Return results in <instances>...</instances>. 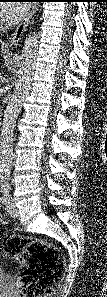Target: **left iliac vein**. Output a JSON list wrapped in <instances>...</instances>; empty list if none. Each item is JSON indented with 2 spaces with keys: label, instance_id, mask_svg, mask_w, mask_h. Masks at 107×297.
Wrapping results in <instances>:
<instances>
[{
  "label": "left iliac vein",
  "instance_id": "left-iliac-vein-1",
  "mask_svg": "<svg viewBox=\"0 0 107 297\" xmlns=\"http://www.w3.org/2000/svg\"><path fill=\"white\" fill-rule=\"evenodd\" d=\"M7 210H8V214L10 216L13 217H17L18 216V209L16 208V205L14 204V202H10L7 206Z\"/></svg>",
  "mask_w": 107,
  "mask_h": 297
}]
</instances>
